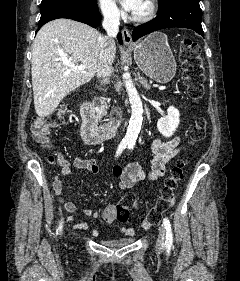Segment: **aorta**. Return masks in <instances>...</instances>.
Wrapping results in <instances>:
<instances>
[{
  "mask_svg": "<svg viewBox=\"0 0 240 281\" xmlns=\"http://www.w3.org/2000/svg\"><path fill=\"white\" fill-rule=\"evenodd\" d=\"M123 78L129 96V101L131 104V111H132L124 140L127 143H135L142 126V119H143L142 101L140 99V96L136 88L134 87L130 74L125 73L123 75Z\"/></svg>",
  "mask_w": 240,
  "mask_h": 281,
  "instance_id": "762f6f07",
  "label": "aorta"
}]
</instances>
